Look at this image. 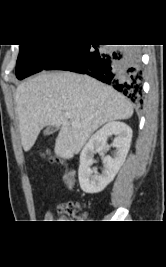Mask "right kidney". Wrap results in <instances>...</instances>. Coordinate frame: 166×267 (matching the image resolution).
Masks as SVG:
<instances>
[{"label": "right kidney", "mask_w": 166, "mask_h": 267, "mask_svg": "<svg viewBox=\"0 0 166 267\" xmlns=\"http://www.w3.org/2000/svg\"><path fill=\"white\" fill-rule=\"evenodd\" d=\"M115 135L112 146L116 148L113 157L104 156L109 150L108 137ZM132 139V129L123 122L112 121L98 130L84 146L80 154L78 179L81 189L86 193L102 191L116 176L123 165ZM102 153L103 170L101 174L91 169L94 155Z\"/></svg>", "instance_id": "ca27d5eb"}]
</instances>
